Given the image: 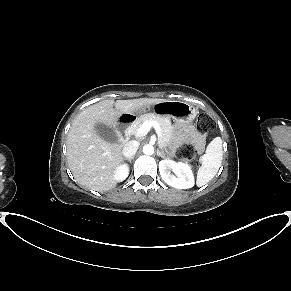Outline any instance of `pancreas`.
<instances>
[{
    "mask_svg": "<svg viewBox=\"0 0 291 291\" xmlns=\"http://www.w3.org/2000/svg\"><path fill=\"white\" fill-rule=\"evenodd\" d=\"M145 121H154L160 126L159 144L161 147H165L172 138V125L168 117L158 116L153 113L143 114L135 120V122L129 127V131L132 134H137L138 130L142 127Z\"/></svg>",
    "mask_w": 291,
    "mask_h": 291,
    "instance_id": "pancreas-1",
    "label": "pancreas"
}]
</instances>
